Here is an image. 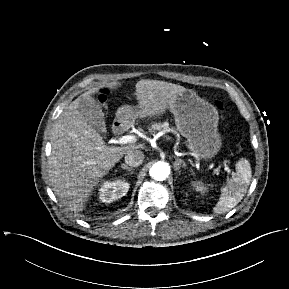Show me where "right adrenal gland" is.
Returning a JSON list of instances; mask_svg holds the SVG:
<instances>
[{
    "instance_id": "obj_1",
    "label": "right adrenal gland",
    "mask_w": 289,
    "mask_h": 289,
    "mask_svg": "<svg viewBox=\"0 0 289 289\" xmlns=\"http://www.w3.org/2000/svg\"><path fill=\"white\" fill-rule=\"evenodd\" d=\"M121 168L124 169V170H127V171H132L133 168L132 167H128L126 164H121Z\"/></svg>"
}]
</instances>
